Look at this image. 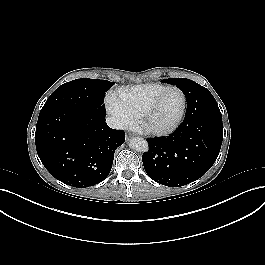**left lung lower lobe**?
Segmentation results:
<instances>
[{
  "label": "left lung lower lobe",
  "mask_w": 265,
  "mask_h": 265,
  "mask_svg": "<svg viewBox=\"0 0 265 265\" xmlns=\"http://www.w3.org/2000/svg\"><path fill=\"white\" fill-rule=\"evenodd\" d=\"M187 111L178 129L165 138L147 139L142 155L148 176L169 187L187 185L202 177L214 164L223 139L222 115L204 88L186 95Z\"/></svg>",
  "instance_id": "0a47b994"
}]
</instances>
